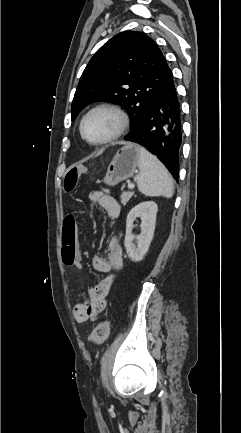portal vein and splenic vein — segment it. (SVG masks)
Segmentation results:
<instances>
[{
	"label": "portal vein and splenic vein",
	"mask_w": 241,
	"mask_h": 433,
	"mask_svg": "<svg viewBox=\"0 0 241 433\" xmlns=\"http://www.w3.org/2000/svg\"><path fill=\"white\" fill-rule=\"evenodd\" d=\"M134 187H135L134 184H131V183L128 184V188H129V189H133Z\"/></svg>",
	"instance_id": "portal-vein-and-splenic-vein-1"
}]
</instances>
